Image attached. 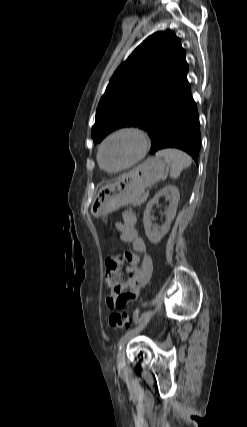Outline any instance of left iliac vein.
I'll use <instances>...</instances> for the list:
<instances>
[{"label": "left iliac vein", "mask_w": 247, "mask_h": 427, "mask_svg": "<svg viewBox=\"0 0 247 427\" xmlns=\"http://www.w3.org/2000/svg\"><path fill=\"white\" fill-rule=\"evenodd\" d=\"M137 331L138 330L134 331L132 333V335L135 334ZM132 335H130V336H132ZM130 336L128 338H126L125 340H123L120 344V350H119V353L117 356V364H118L119 368H123L125 365V345H126L128 339L130 338Z\"/></svg>", "instance_id": "4c4485c4"}]
</instances>
